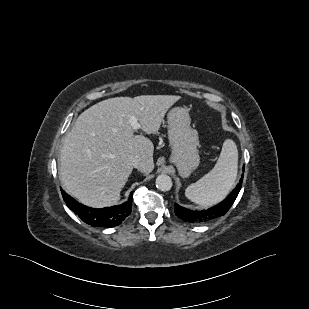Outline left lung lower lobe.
Wrapping results in <instances>:
<instances>
[{
  "instance_id": "1",
  "label": "left lung lower lobe",
  "mask_w": 309,
  "mask_h": 309,
  "mask_svg": "<svg viewBox=\"0 0 309 309\" xmlns=\"http://www.w3.org/2000/svg\"><path fill=\"white\" fill-rule=\"evenodd\" d=\"M244 170V167H243ZM243 174L240 179V182L232 193L220 204L209 208L208 210L202 211H193L186 208H183L175 203V214L177 217L181 218L183 221L192 223V224H204L209 221H212L220 216H223L232 206L235 199L237 198L239 191L243 182Z\"/></svg>"
}]
</instances>
